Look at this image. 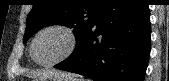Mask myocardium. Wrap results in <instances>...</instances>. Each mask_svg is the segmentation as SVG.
Wrapping results in <instances>:
<instances>
[{
	"mask_svg": "<svg viewBox=\"0 0 169 81\" xmlns=\"http://www.w3.org/2000/svg\"><path fill=\"white\" fill-rule=\"evenodd\" d=\"M52 30H57V31L64 33L69 40V46H68L66 52L57 60L50 62V63H41L36 59L35 54H34L35 42L41 34L48 32V31H52ZM77 43H78L77 35L72 28H70L66 25H63V24H53V25H50V26H47V27L41 29L40 31H38L36 33V35L34 36V38L31 41L30 56H31L32 60L37 65L44 67V68H51V67H54V66L58 65L59 63L65 61L66 59H68L75 51V49L77 47Z\"/></svg>",
	"mask_w": 169,
	"mask_h": 81,
	"instance_id": "f54148a6",
	"label": "myocardium"
}]
</instances>
